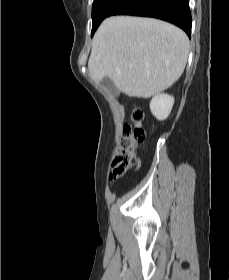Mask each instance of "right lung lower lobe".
<instances>
[{
	"mask_svg": "<svg viewBox=\"0 0 229 280\" xmlns=\"http://www.w3.org/2000/svg\"><path fill=\"white\" fill-rule=\"evenodd\" d=\"M117 14L162 19L180 27L191 36L189 0H116L106 17Z\"/></svg>",
	"mask_w": 229,
	"mask_h": 280,
	"instance_id": "98d812e1",
	"label": "right lung lower lobe"
}]
</instances>
